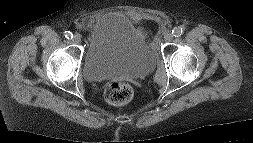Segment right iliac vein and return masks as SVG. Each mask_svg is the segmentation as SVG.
Segmentation results:
<instances>
[{"label": "right iliac vein", "mask_w": 253, "mask_h": 143, "mask_svg": "<svg viewBox=\"0 0 253 143\" xmlns=\"http://www.w3.org/2000/svg\"><path fill=\"white\" fill-rule=\"evenodd\" d=\"M72 42H73L74 44H80V43H81V36L78 35V34H75V35L73 36V38H72Z\"/></svg>", "instance_id": "right-iliac-vein-1"}]
</instances>
